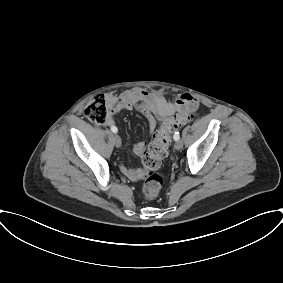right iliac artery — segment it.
I'll return each mask as SVG.
<instances>
[{
	"label": "right iliac artery",
	"mask_w": 283,
	"mask_h": 283,
	"mask_svg": "<svg viewBox=\"0 0 283 283\" xmlns=\"http://www.w3.org/2000/svg\"><path fill=\"white\" fill-rule=\"evenodd\" d=\"M111 131H112L113 133H117V132H118V129H117V127H115V126H112V127H111Z\"/></svg>",
	"instance_id": "obj_1"
}]
</instances>
